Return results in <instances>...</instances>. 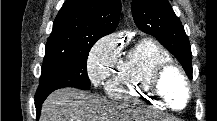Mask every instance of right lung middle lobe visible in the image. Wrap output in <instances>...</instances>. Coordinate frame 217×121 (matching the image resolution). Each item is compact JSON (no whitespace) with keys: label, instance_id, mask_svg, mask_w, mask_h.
<instances>
[{"label":"right lung middle lobe","instance_id":"right-lung-middle-lobe-1","mask_svg":"<svg viewBox=\"0 0 217 121\" xmlns=\"http://www.w3.org/2000/svg\"><path fill=\"white\" fill-rule=\"evenodd\" d=\"M96 41L76 42L48 39L35 98L49 95L54 90L63 87L90 89L86 63L88 52Z\"/></svg>","mask_w":217,"mask_h":121}]
</instances>
